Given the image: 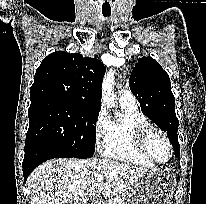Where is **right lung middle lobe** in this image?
<instances>
[{
	"label": "right lung middle lobe",
	"instance_id": "1",
	"mask_svg": "<svg viewBox=\"0 0 206 204\" xmlns=\"http://www.w3.org/2000/svg\"><path fill=\"white\" fill-rule=\"evenodd\" d=\"M100 109L60 101L32 102L25 152L49 147L68 158H90L95 151V122Z\"/></svg>",
	"mask_w": 206,
	"mask_h": 204
}]
</instances>
